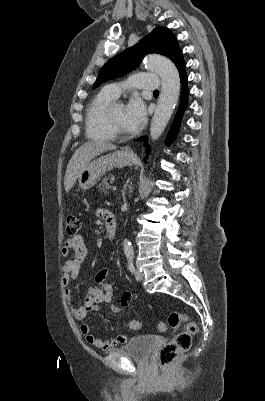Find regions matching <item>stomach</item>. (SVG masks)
<instances>
[{
    "label": "stomach",
    "instance_id": "0dacf381",
    "mask_svg": "<svg viewBox=\"0 0 265 401\" xmlns=\"http://www.w3.org/2000/svg\"><path fill=\"white\" fill-rule=\"evenodd\" d=\"M138 160L137 156H132L124 150H115V152H109V154H103L99 158H94L91 162L86 164V168L79 174V186L82 190H87L96 184L97 180H100L102 174L112 170L115 166H131Z\"/></svg>",
    "mask_w": 265,
    "mask_h": 401
}]
</instances>
